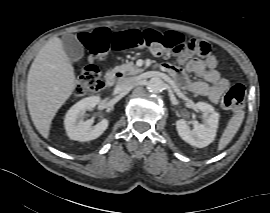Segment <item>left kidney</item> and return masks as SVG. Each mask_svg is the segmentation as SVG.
Wrapping results in <instances>:
<instances>
[{"label": "left kidney", "mask_w": 270, "mask_h": 213, "mask_svg": "<svg viewBox=\"0 0 270 213\" xmlns=\"http://www.w3.org/2000/svg\"><path fill=\"white\" fill-rule=\"evenodd\" d=\"M196 108L203 113L204 123L193 121V129H190L187 122L180 119L176 122L178 135L188 144L194 147L203 148L212 143L218 128L219 113L214 107L205 102L196 103Z\"/></svg>", "instance_id": "1"}]
</instances>
